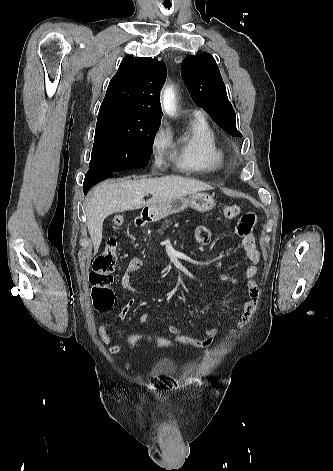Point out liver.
<instances>
[{
  "label": "liver",
  "instance_id": "6515ba94",
  "mask_svg": "<svg viewBox=\"0 0 333 471\" xmlns=\"http://www.w3.org/2000/svg\"><path fill=\"white\" fill-rule=\"evenodd\" d=\"M211 189L206 183L180 176L126 180L119 183L105 181L99 184L90 193L85 206L94 253L96 254L100 247L103 222L109 215L137 210L145 205L150 206ZM149 193L152 198L145 201L144 197Z\"/></svg>",
  "mask_w": 333,
  "mask_h": 471
}]
</instances>
